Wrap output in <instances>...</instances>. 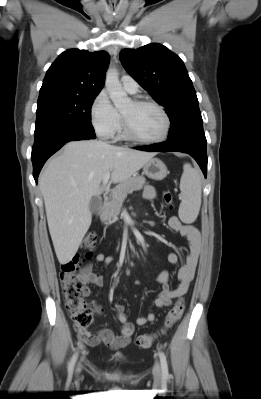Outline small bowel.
<instances>
[{
    "instance_id": "small-bowel-1",
    "label": "small bowel",
    "mask_w": 261,
    "mask_h": 399,
    "mask_svg": "<svg viewBox=\"0 0 261 399\" xmlns=\"http://www.w3.org/2000/svg\"><path fill=\"white\" fill-rule=\"evenodd\" d=\"M142 196L145 200H153L156 197V191L151 186L144 187ZM169 227L179 232L187 240L188 254L185 258L183 266L178 271L179 285L176 289H172L169 284V273L162 271L158 277V282L162 285V291L159 296L154 300V306L157 308H164L171 305L172 300L176 297L184 295L192 282L198 259L201 252V236L198 229L191 225L180 221L179 217L171 216L168 220ZM97 263H103L109 265L114 261V257L106 255L104 253H98L95 256ZM169 263L175 265L179 262V256L176 253H171L168 256ZM77 279L81 284L82 294L87 297L91 294V285L101 287L103 285V276L93 271L91 263L84 266L77 274ZM98 313H101L99 307H95ZM114 311L116 313L117 320L121 323L122 327L118 334H115L109 329H101L95 334L89 332V338L83 339L89 346H98L104 344L110 348L117 350L127 346L130 342V338L134 332V323L129 320L126 314L124 305L116 303L114 305ZM155 320L154 313H149L146 316L139 317L136 320L137 325H144Z\"/></svg>"
}]
</instances>
